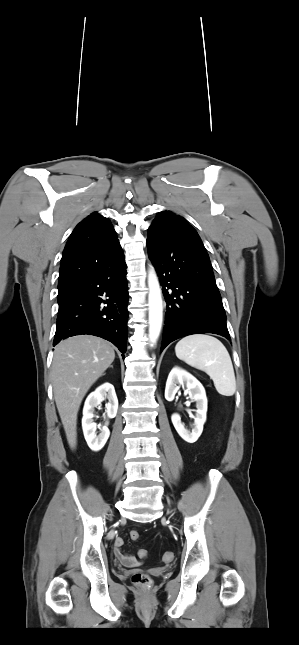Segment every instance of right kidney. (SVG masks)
<instances>
[{"instance_id": "1", "label": "right kidney", "mask_w": 299, "mask_h": 645, "mask_svg": "<svg viewBox=\"0 0 299 645\" xmlns=\"http://www.w3.org/2000/svg\"><path fill=\"white\" fill-rule=\"evenodd\" d=\"M106 398L109 401L106 404L107 417L114 418L118 410V399L114 387L110 383H104L103 385L99 386L94 392L90 393L85 401L83 408V433L89 448L93 451L101 450L110 435L107 423L104 426L99 427L100 433L97 435V425L93 420L94 408L101 404V402Z\"/></svg>"}]
</instances>
